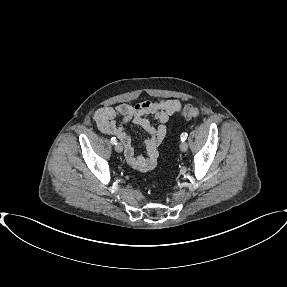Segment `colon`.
Masks as SVG:
<instances>
[{
    "label": "colon",
    "instance_id": "colon-1",
    "mask_svg": "<svg viewBox=\"0 0 287 287\" xmlns=\"http://www.w3.org/2000/svg\"><path fill=\"white\" fill-rule=\"evenodd\" d=\"M181 114L185 119H195L199 116L200 112L197 106L187 104L181 108Z\"/></svg>",
    "mask_w": 287,
    "mask_h": 287
}]
</instances>
